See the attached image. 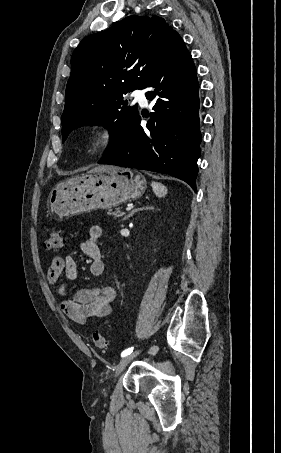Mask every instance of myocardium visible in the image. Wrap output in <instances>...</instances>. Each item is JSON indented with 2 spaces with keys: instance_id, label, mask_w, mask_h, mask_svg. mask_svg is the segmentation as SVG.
<instances>
[{
  "instance_id": "f54148a6",
  "label": "myocardium",
  "mask_w": 281,
  "mask_h": 453,
  "mask_svg": "<svg viewBox=\"0 0 281 453\" xmlns=\"http://www.w3.org/2000/svg\"><path fill=\"white\" fill-rule=\"evenodd\" d=\"M112 140L113 132L105 126L93 128L85 137V142L92 151H97L108 146Z\"/></svg>"
}]
</instances>
